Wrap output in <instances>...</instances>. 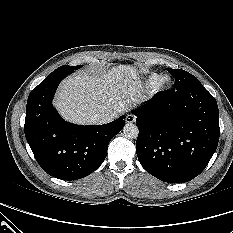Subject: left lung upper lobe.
<instances>
[{
    "mask_svg": "<svg viewBox=\"0 0 233 233\" xmlns=\"http://www.w3.org/2000/svg\"><path fill=\"white\" fill-rule=\"evenodd\" d=\"M167 71L170 72L175 77L176 90L185 88L187 86L201 84L200 81L195 76L188 73L187 71L181 69H171V68H167Z\"/></svg>",
    "mask_w": 233,
    "mask_h": 233,
    "instance_id": "1",
    "label": "left lung upper lobe"
}]
</instances>
